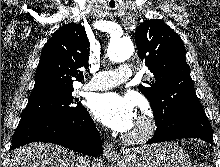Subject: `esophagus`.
I'll list each match as a JSON object with an SVG mask.
<instances>
[{
  "mask_svg": "<svg viewBox=\"0 0 220 167\" xmlns=\"http://www.w3.org/2000/svg\"><path fill=\"white\" fill-rule=\"evenodd\" d=\"M103 155L110 159V160H116L119 158V154L116 152L114 146L110 142H105L103 146Z\"/></svg>",
  "mask_w": 220,
  "mask_h": 167,
  "instance_id": "1",
  "label": "esophagus"
}]
</instances>
